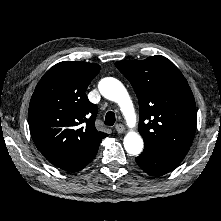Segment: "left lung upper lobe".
Here are the masks:
<instances>
[{
  "label": "left lung upper lobe",
  "instance_id": "left-lung-upper-lobe-1",
  "mask_svg": "<svg viewBox=\"0 0 221 221\" xmlns=\"http://www.w3.org/2000/svg\"><path fill=\"white\" fill-rule=\"evenodd\" d=\"M130 81L139 101V132L144 144L186 155L196 129V105L182 73L167 58L115 63Z\"/></svg>",
  "mask_w": 221,
  "mask_h": 221
}]
</instances>
